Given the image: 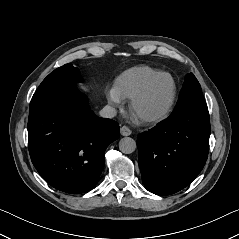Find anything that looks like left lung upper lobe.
<instances>
[{"label": "left lung upper lobe", "mask_w": 239, "mask_h": 239, "mask_svg": "<svg viewBox=\"0 0 239 239\" xmlns=\"http://www.w3.org/2000/svg\"><path fill=\"white\" fill-rule=\"evenodd\" d=\"M189 106H207L202 94L201 86L193 73L186 74L185 82L179 95V100L172 114Z\"/></svg>", "instance_id": "left-lung-upper-lobe-1"}]
</instances>
